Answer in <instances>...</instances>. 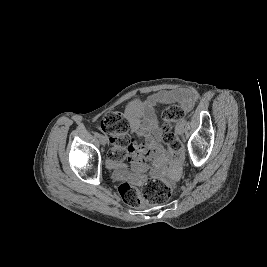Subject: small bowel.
<instances>
[{"instance_id":"c3829d8e","label":"small bowel","mask_w":267,"mask_h":267,"mask_svg":"<svg viewBox=\"0 0 267 267\" xmlns=\"http://www.w3.org/2000/svg\"><path fill=\"white\" fill-rule=\"evenodd\" d=\"M197 94L193 90H164L149 95L144 102L133 103L128 109L133 133L131 152L128 163L113 166V176L117 181L138 185L148 175L175 178L180 172V161L167 152L161 144L158 131L157 110L159 105L178 103L185 110L192 107ZM140 114L141 117H135ZM169 167V170H167Z\"/></svg>"}]
</instances>
